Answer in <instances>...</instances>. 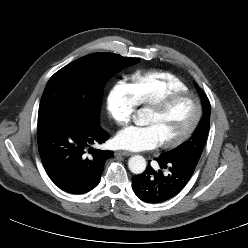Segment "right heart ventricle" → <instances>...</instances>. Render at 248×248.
<instances>
[{"label":"right heart ventricle","instance_id":"1","mask_svg":"<svg viewBox=\"0 0 248 248\" xmlns=\"http://www.w3.org/2000/svg\"><path fill=\"white\" fill-rule=\"evenodd\" d=\"M137 105L149 106L166 94L189 91L188 86L169 72L136 73L127 84Z\"/></svg>","mask_w":248,"mask_h":248}]
</instances>
